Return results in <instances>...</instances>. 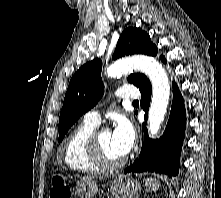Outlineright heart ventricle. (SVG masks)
Instances as JSON below:
<instances>
[{
    "label": "right heart ventricle",
    "instance_id": "1",
    "mask_svg": "<svg viewBox=\"0 0 221 198\" xmlns=\"http://www.w3.org/2000/svg\"><path fill=\"white\" fill-rule=\"evenodd\" d=\"M97 124L84 120L68 135L64 145L65 164L78 172H97L100 168L93 162L88 150V140Z\"/></svg>",
    "mask_w": 221,
    "mask_h": 198
}]
</instances>
